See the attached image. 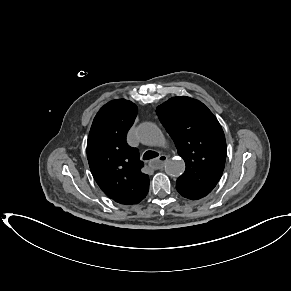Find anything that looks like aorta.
Here are the masks:
<instances>
[{
	"instance_id": "1",
	"label": "aorta",
	"mask_w": 291,
	"mask_h": 291,
	"mask_svg": "<svg viewBox=\"0 0 291 291\" xmlns=\"http://www.w3.org/2000/svg\"><path fill=\"white\" fill-rule=\"evenodd\" d=\"M137 136L141 143L147 146L160 147L165 142L162 131L151 122L142 123L137 129ZM184 170L185 162L181 158L171 159L165 165V171L170 176L178 177Z\"/></svg>"
}]
</instances>
